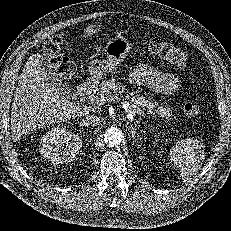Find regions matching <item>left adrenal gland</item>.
Instances as JSON below:
<instances>
[{"instance_id":"a2214340","label":"left adrenal gland","mask_w":231,"mask_h":231,"mask_svg":"<svg viewBox=\"0 0 231 231\" xmlns=\"http://www.w3.org/2000/svg\"><path fill=\"white\" fill-rule=\"evenodd\" d=\"M140 121H141V117H140L138 120H136V121L134 122V124H127V128L131 131L133 137H134L135 134H136L137 125H138V123H139Z\"/></svg>"}]
</instances>
